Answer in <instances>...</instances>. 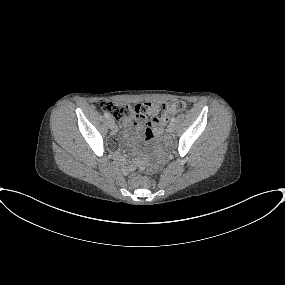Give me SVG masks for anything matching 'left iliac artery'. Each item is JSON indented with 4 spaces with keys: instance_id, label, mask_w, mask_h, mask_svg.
Instances as JSON below:
<instances>
[{
    "instance_id": "1",
    "label": "left iliac artery",
    "mask_w": 285,
    "mask_h": 285,
    "mask_svg": "<svg viewBox=\"0 0 285 285\" xmlns=\"http://www.w3.org/2000/svg\"><path fill=\"white\" fill-rule=\"evenodd\" d=\"M175 119H176L175 117H172L171 122L173 123L175 121Z\"/></svg>"
}]
</instances>
